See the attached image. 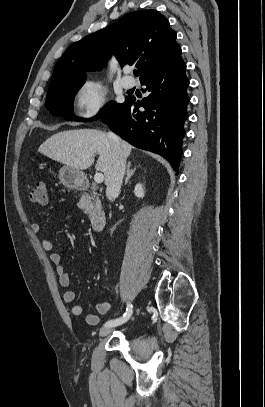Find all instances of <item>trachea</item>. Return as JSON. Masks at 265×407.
Instances as JSON below:
<instances>
[{"mask_svg": "<svg viewBox=\"0 0 265 407\" xmlns=\"http://www.w3.org/2000/svg\"><path fill=\"white\" fill-rule=\"evenodd\" d=\"M134 75H135V76H139V75H140V71L135 70V71H134Z\"/></svg>", "mask_w": 265, "mask_h": 407, "instance_id": "trachea-1", "label": "trachea"}]
</instances>
